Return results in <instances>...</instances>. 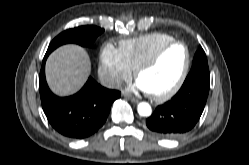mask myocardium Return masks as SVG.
I'll list each match as a JSON object with an SVG mask.
<instances>
[{"label": "myocardium", "mask_w": 249, "mask_h": 165, "mask_svg": "<svg viewBox=\"0 0 249 165\" xmlns=\"http://www.w3.org/2000/svg\"><path fill=\"white\" fill-rule=\"evenodd\" d=\"M176 44H180L182 46H184L185 50H186V59H185V63L183 66V69L181 71V74L178 78V80L176 81V83L174 84L173 87H171L170 89H168L167 91L163 92V93H159V94H155V93H149V96L155 100V101H165L169 98H171L173 95H175L180 88L182 87L188 72H189V68H190V63H191V54H190V50L189 47L187 46V44L181 40H172L162 46H160L154 54H152L149 58H147L146 60H144L143 62H141L134 70V77L137 79L138 76L145 71L146 69H148L149 67H151L153 64H155L160 58L161 56L164 54V52L170 48L173 45Z\"/></svg>", "instance_id": "1"}]
</instances>
